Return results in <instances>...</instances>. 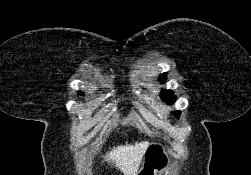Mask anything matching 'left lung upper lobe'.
Returning <instances> with one entry per match:
<instances>
[{
	"label": "left lung upper lobe",
	"instance_id": "obj_1",
	"mask_svg": "<svg viewBox=\"0 0 251 175\" xmlns=\"http://www.w3.org/2000/svg\"><path fill=\"white\" fill-rule=\"evenodd\" d=\"M165 78H166V73H163L159 77V81H163ZM160 97L164 102H167L168 104H173L175 102V97H174L172 91H170V90L162 91L160 94ZM174 114L176 115L177 118H179L180 112L177 111Z\"/></svg>",
	"mask_w": 251,
	"mask_h": 175
}]
</instances>
